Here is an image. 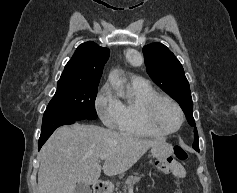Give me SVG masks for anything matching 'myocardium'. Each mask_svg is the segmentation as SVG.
<instances>
[{"label": "myocardium", "mask_w": 237, "mask_h": 193, "mask_svg": "<svg viewBox=\"0 0 237 193\" xmlns=\"http://www.w3.org/2000/svg\"><path fill=\"white\" fill-rule=\"evenodd\" d=\"M163 101H167V102L171 103L179 112L180 122H179V125L175 129L169 130V129L162 128L155 121V118H154L155 110H156L157 106ZM184 120H185V114H184L183 109L181 108V106L179 105V103L176 100H174L173 98H171L169 96L156 95L155 97L150 99L144 105V107L142 109L143 124L146 127H148L149 129L153 130L154 132L162 134V135H169V134H173V133H176L177 131H179L184 124Z\"/></svg>", "instance_id": "1"}]
</instances>
